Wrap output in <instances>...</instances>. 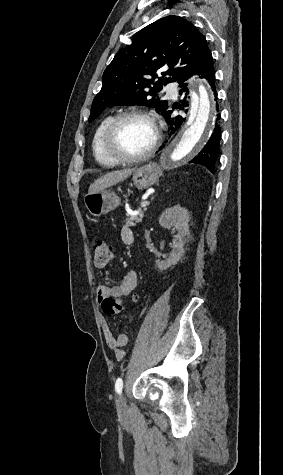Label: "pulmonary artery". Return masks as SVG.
Here are the masks:
<instances>
[{
	"label": "pulmonary artery",
	"mask_w": 283,
	"mask_h": 475,
	"mask_svg": "<svg viewBox=\"0 0 283 475\" xmlns=\"http://www.w3.org/2000/svg\"><path fill=\"white\" fill-rule=\"evenodd\" d=\"M165 94L167 96H176L178 94V89L175 85H169L165 87Z\"/></svg>",
	"instance_id": "pulmonary-artery-1"
}]
</instances>
